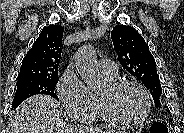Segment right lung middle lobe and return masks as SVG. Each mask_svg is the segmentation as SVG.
I'll return each mask as SVG.
<instances>
[{
    "label": "right lung middle lobe",
    "instance_id": "1",
    "mask_svg": "<svg viewBox=\"0 0 184 133\" xmlns=\"http://www.w3.org/2000/svg\"><path fill=\"white\" fill-rule=\"evenodd\" d=\"M59 77L51 78H24L18 79L16 86L17 90L13 99L11 110L18 107L25 99L38 94L50 95L58 99L54 93Z\"/></svg>",
    "mask_w": 184,
    "mask_h": 133
}]
</instances>
